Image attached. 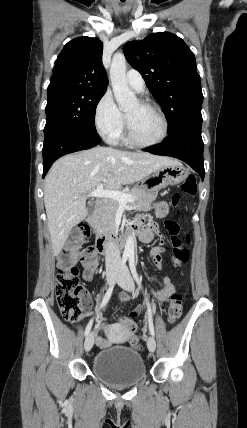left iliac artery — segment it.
I'll return each mask as SVG.
<instances>
[{
	"instance_id": "44dca946",
	"label": "left iliac artery",
	"mask_w": 247,
	"mask_h": 428,
	"mask_svg": "<svg viewBox=\"0 0 247 428\" xmlns=\"http://www.w3.org/2000/svg\"><path fill=\"white\" fill-rule=\"evenodd\" d=\"M129 266H130L131 273H132L134 279L136 280L139 288L142 289V284H141V281L138 277V273H137L136 267H135L134 256L129 257ZM145 300H146V305H147L149 330H150L151 335L154 336L155 331H154V325H153V319H152V310H151V306H150V303H149V300L147 297L145 298Z\"/></svg>"
}]
</instances>
